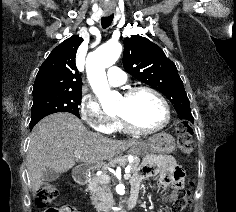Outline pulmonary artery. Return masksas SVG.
<instances>
[{
  "label": "pulmonary artery",
  "mask_w": 236,
  "mask_h": 212,
  "mask_svg": "<svg viewBox=\"0 0 236 212\" xmlns=\"http://www.w3.org/2000/svg\"><path fill=\"white\" fill-rule=\"evenodd\" d=\"M108 83L110 86H119L123 85L127 78L123 70L118 67H110L107 71Z\"/></svg>",
  "instance_id": "1"
}]
</instances>
